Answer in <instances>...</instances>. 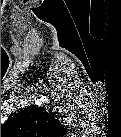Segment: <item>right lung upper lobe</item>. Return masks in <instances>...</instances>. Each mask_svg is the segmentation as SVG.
<instances>
[{
	"mask_svg": "<svg viewBox=\"0 0 121 137\" xmlns=\"http://www.w3.org/2000/svg\"><path fill=\"white\" fill-rule=\"evenodd\" d=\"M62 129L59 121L43 107H27L1 125V132L10 135H46Z\"/></svg>",
	"mask_w": 121,
	"mask_h": 137,
	"instance_id": "obj_1",
	"label": "right lung upper lobe"
}]
</instances>
